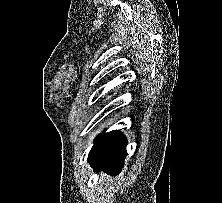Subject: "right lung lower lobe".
Wrapping results in <instances>:
<instances>
[{"label": "right lung lower lobe", "mask_w": 222, "mask_h": 203, "mask_svg": "<svg viewBox=\"0 0 222 203\" xmlns=\"http://www.w3.org/2000/svg\"><path fill=\"white\" fill-rule=\"evenodd\" d=\"M127 140L117 130L100 134L90 150L88 162L96 169L119 174L124 166Z\"/></svg>", "instance_id": "right-lung-lower-lobe-1"}]
</instances>
